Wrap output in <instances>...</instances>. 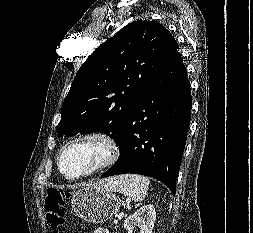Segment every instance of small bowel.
<instances>
[{"mask_svg":"<svg viewBox=\"0 0 253 233\" xmlns=\"http://www.w3.org/2000/svg\"><path fill=\"white\" fill-rule=\"evenodd\" d=\"M94 233H109V232L104 228H98L94 231Z\"/></svg>","mask_w":253,"mask_h":233,"instance_id":"obj_1","label":"small bowel"}]
</instances>
